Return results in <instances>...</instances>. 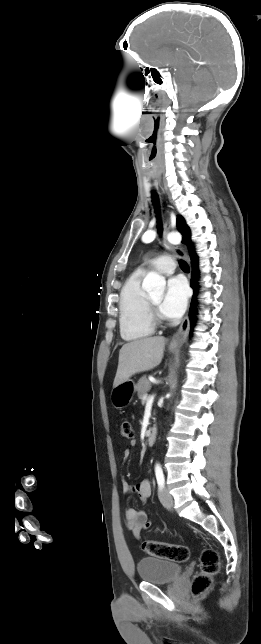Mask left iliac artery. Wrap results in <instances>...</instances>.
Here are the masks:
<instances>
[{"mask_svg": "<svg viewBox=\"0 0 261 644\" xmlns=\"http://www.w3.org/2000/svg\"><path fill=\"white\" fill-rule=\"evenodd\" d=\"M155 475H156V479H157V484H158L159 488L162 489L164 487V484H165V479H164L163 470H162L161 465L159 463H157L155 465Z\"/></svg>", "mask_w": 261, "mask_h": 644, "instance_id": "obj_1", "label": "left iliac artery"}]
</instances>
